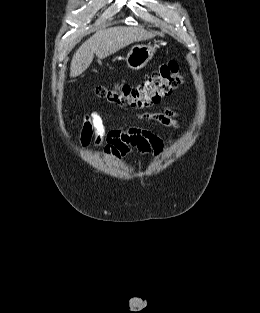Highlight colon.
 Segmentation results:
<instances>
[{"mask_svg": "<svg viewBox=\"0 0 260 313\" xmlns=\"http://www.w3.org/2000/svg\"><path fill=\"white\" fill-rule=\"evenodd\" d=\"M184 80L179 63L175 60L163 64L147 79L138 84H100L96 95L120 106L146 108L159 103Z\"/></svg>", "mask_w": 260, "mask_h": 313, "instance_id": "5ec220e1", "label": "colon"}]
</instances>
